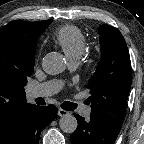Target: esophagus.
<instances>
[{
	"label": "esophagus",
	"instance_id": "34e87169",
	"mask_svg": "<svg viewBox=\"0 0 144 144\" xmlns=\"http://www.w3.org/2000/svg\"><path fill=\"white\" fill-rule=\"evenodd\" d=\"M69 114V112L68 111H66V110H64V109H59L58 110V115L60 116V117H64V116H67Z\"/></svg>",
	"mask_w": 144,
	"mask_h": 144
}]
</instances>
